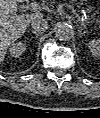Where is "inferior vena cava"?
<instances>
[{
  "instance_id": "obj_1",
  "label": "inferior vena cava",
  "mask_w": 100,
  "mask_h": 118,
  "mask_svg": "<svg viewBox=\"0 0 100 118\" xmlns=\"http://www.w3.org/2000/svg\"><path fill=\"white\" fill-rule=\"evenodd\" d=\"M31 26L36 32H44L48 28V22L44 18H34L31 20Z\"/></svg>"
}]
</instances>
